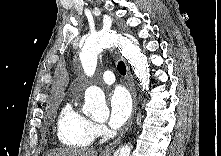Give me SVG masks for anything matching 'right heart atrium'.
Returning <instances> with one entry per match:
<instances>
[{
	"instance_id": "right-heart-atrium-1",
	"label": "right heart atrium",
	"mask_w": 221,
	"mask_h": 156,
	"mask_svg": "<svg viewBox=\"0 0 221 156\" xmlns=\"http://www.w3.org/2000/svg\"><path fill=\"white\" fill-rule=\"evenodd\" d=\"M91 130L94 137H99L104 134L105 127L100 123L92 122Z\"/></svg>"
}]
</instances>
